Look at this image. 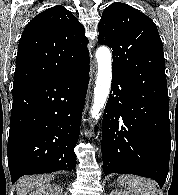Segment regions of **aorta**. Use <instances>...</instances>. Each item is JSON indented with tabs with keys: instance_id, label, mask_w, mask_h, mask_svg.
Returning a JSON list of instances; mask_svg holds the SVG:
<instances>
[{
	"instance_id": "1",
	"label": "aorta",
	"mask_w": 178,
	"mask_h": 195,
	"mask_svg": "<svg viewBox=\"0 0 178 195\" xmlns=\"http://www.w3.org/2000/svg\"><path fill=\"white\" fill-rule=\"evenodd\" d=\"M98 73L94 89V101L91 108L92 119H97L103 110L111 87L112 60L110 49L101 46L96 51Z\"/></svg>"
}]
</instances>
